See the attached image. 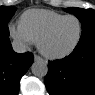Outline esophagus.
Here are the masks:
<instances>
[{
    "instance_id": "obj_1",
    "label": "esophagus",
    "mask_w": 95,
    "mask_h": 95,
    "mask_svg": "<svg viewBox=\"0 0 95 95\" xmlns=\"http://www.w3.org/2000/svg\"><path fill=\"white\" fill-rule=\"evenodd\" d=\"M34 60L35 61H42L43 59L40 56H38L37 54H35L34 55Z\"/></svg>"
}]
</instances>
